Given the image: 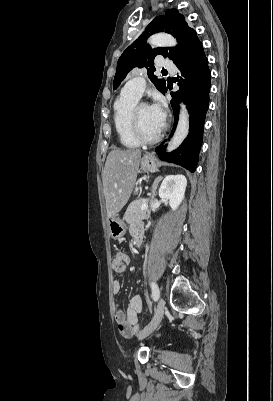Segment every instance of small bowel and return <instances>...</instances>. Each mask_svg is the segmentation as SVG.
I'll list each match as a JSON object with an SVG mask.
<instances>
[{
    "label": "small bowel",
    "instance_id": "small-bowel-1",
    "mask_svg": "<svg viewBox=\"0 0 273 401\" xmlns=\"http://www.w3.org/2000/svg\"><path fill=\"white\" fill-rule=\"evenodd\" d=\"M133 238L144 236V230L135 225L131 229ZM131 262V258L124 252H117L112 260V269L115 273H122L125 271L126 266ZM112 291L117 294L121 291V283L119 280H113ZM152 311L156 310L155 306L151 307ZM143 311L142 300L139 295H133L128 302L125 311H117L115 314V323L118 331L124 337H129L137 328L139 317Z\"/></svg>",
    "mask_w": 273,
    "mask_h": 401
}]
</instances>
